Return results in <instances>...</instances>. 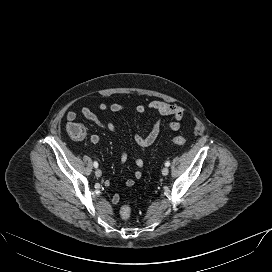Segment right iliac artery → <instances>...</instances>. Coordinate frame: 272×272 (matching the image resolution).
<instances>
[{"mask_svg": "<svg viewBox=\"0 0 272 272\" xmlns=\"http://www.w3.org/2000/svg\"><path fill=\"white\" fill-rule=\"evenodd\" d=\"M93 165H94L95 168L98 167V163L96 161L93 163Z\"/></svg>", "mask_w": 272, "mask_h": 272, "instance_id": "82829eb1", "label": "right iliac artery"}]
</instances>
